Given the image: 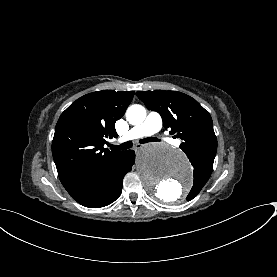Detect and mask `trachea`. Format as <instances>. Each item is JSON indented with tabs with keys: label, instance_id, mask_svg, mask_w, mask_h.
<instances>
[{
	"label": "trachea",
	"instance_id": "trachea-1",
	"mask_svg": "<svg viewBox=\"0 0 277 277\" xmlns=\"http://www.w3.org/2000/svg\"><path fill=\"white\" fill-rule=\"evenodd\" d=\"M152 141H160L157 138H153V137H148V138H144L141 139L139 141V143H148V142H152ZM110 147V149H114V150H126V149H130L133 146V143L131 141H127L125 143H122L121 145H112L109 144L108 145Z\"/></svg>",
	"mask_w": 277,
	"mask_h": 277
}]
</instances>
